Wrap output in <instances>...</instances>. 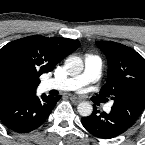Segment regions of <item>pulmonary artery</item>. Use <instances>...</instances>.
<instances>
[{
    "instance_id": "1",
    "label": "pulmonary artery",
    "mask_w": 145,
    "mask_h": 145,
    "mask_svg": "<svg viewBox=\"0 0 145 145\" xmlns=\"http://www.w3.org/2000/svg\"><path fill=\"white\" fill-rule=\"evenodd\" d=\"M102 62L100 58L93 54H88L85 57L84 71L77 76L67 78H52L47 79L43 83L45 89L57 90H75L86 84L97 81L101 76ZM104 109L109 112L111 104H108Z\"/></svg>"
}]
</instances>
